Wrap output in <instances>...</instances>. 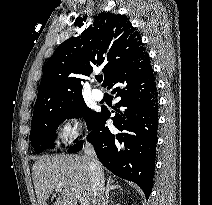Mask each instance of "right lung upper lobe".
<instances>
[{
    "instance_id": "cb5924a9",
    "label": "right lung upper lobe",
    "mask_w": 212,
    "mask_h": 205,
    "mask_svg": "<svg viewBox=\"0 0 212 205\" xmlns=\"http://www.w3.org/2000/svg\"><path fill=\"white\" fill-rule=\"evenodd\" d=\"M145 52L141 35L127 17L108 12L99 14L81 36L64 41L48 59L34 110L82 100L85 80L80 76H89L94 68L104 66L106 87L120 68Z\"/></svg>"
}]
</instances>
